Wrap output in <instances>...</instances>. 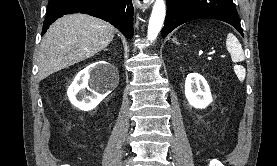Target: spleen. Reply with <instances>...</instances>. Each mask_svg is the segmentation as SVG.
Here are the masks:
<instances>
[{"instance_id": "obj_1", "label": "spleen", "mask_w": 277, "mask_h": 166, "mask_svg": "<svg viewBox=\"0 0 277 166\" xmlns=\"http://www.w3.org/2000/svg\"><path fill=\"white\" fill-rule=\"evenodd\" d=\"M226 48L230 53L233 62H242L245 59L244 51L238 39L229 33L226 39Z\"/></svg>"}]
</instances>
